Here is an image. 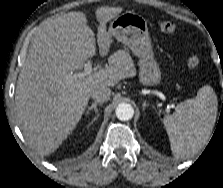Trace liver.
Segmentation results:
<instances>
[{
    "instance_id": "6515ba94",
    "label": "liver",
    "mask_w": 223,
    "mask_h": 188,
    "mask_svg": "<svg viewBox=\"0 0 223 188\" xmlns=\"http://www.w3.org/2000/svg\"><path fill=\"white\" fill-rule=\"evenodd\" d=\"M123 11L101 7L97 38L83 12H69L46 20L32 40L20 71L15 105L17 123L29 145L42 155L54 152L73 131L88 104L91 91L99 86L114 87L128 77L126 64L109 59V67L91 75L68 79L88 58L104 57L111 46L106 24Z\"/></svg>"
}]
</instances>
